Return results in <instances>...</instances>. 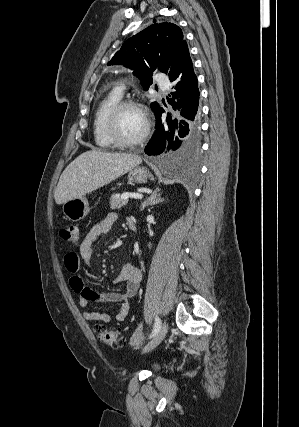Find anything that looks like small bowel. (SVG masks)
<instances>
[{
    "instance_id": "small-bowel-1",
    "label": "small bowel",
    "mask_w": 299,
    "mask_h": 427,
    "mask_svg": "<svg viewBox=\"0 0 299 427\" xmlns=\"http://www.w3.org/2000/svg\"><path fill=\"white\" fill-rule=\"evenodd\" d=\"M116 219L117 215L115 213L108 214L88 231L80 245L79 253L68 252L64 256V265L69 274V284L72 290L78 294L81 307L86 308L91 301L101 304L118 303L120 305L119 311L114 316L104 312L85 310L82 316L88 321L108 323L112 320L119 322L125 320L129 313L130 300L136 295L141 282V271L129 263L123 265L116 276L118 283L125 284L123 293L95 291L85 283L78 273L81 262L88 263L90 261L95 243L111 230Z\"/></svg>"
}]
</instances>
